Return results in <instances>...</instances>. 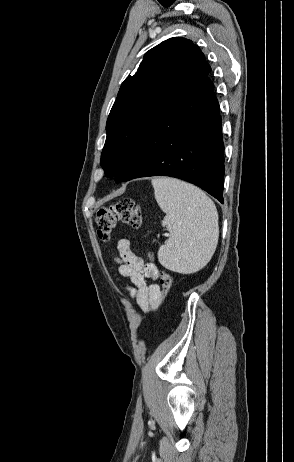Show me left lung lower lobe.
<instances>
[{"label": "left lung lower lobe", "mask_w": 294, "mask_h": 462, "mask_svg": "<svg viewBox=\"0 0 294 462\" xmlns=\"http://www.w3.org/2000/svg\"><path fill=\"white\" fill-rule=\"evenodd\" d=\"M224 144L214 85L190 82L146 126L115 176L116 182L170 176L193 183L223 203Z\"/></svg>", "instance_id": "left-lung-lower-lobe-1"}]
</instances>
